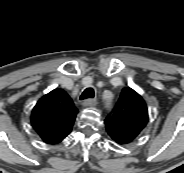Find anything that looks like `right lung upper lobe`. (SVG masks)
<instances>
[{
	"mask_svg": "<svg viewBox=\"0 0 184 173\" xmlns=\"http://www.w3.org/2000/svg\"><path fill=\"white\" fill-rule=\"evenodd\" d=\"M77 113L69 95L54 89L37 102L31 123L45 143L58 144L71 132Z\"/></svg>",
	"mask_w": 184,
	"mask_h": 173,
	"instance_id": "1",
	"label": "right lung upper lobe"
}]
</instances>
